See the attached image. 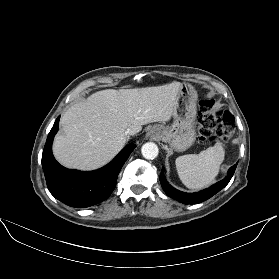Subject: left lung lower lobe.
<instances>
[{"instance_id": "0a47b994", "label": "left lung lower lobe", "mask_w": 279, "mask_h": 279, "mask_svg": "<svg viewBox=\"0 0 279 279\" xmlns=\"http://www.w3.org/2000/svg\"><path fill=\"white\" fill-rule=\"evenodd\" d=\"M235 169H236V165H233L232 167H230L227 176L223 180L217 182L216 184L212 185L211 187L203 191L196 192V193H185L172 187L164 178V168L162 169L160 174V183L162 185L163 190L166 192V194L169 197L183 204H197L211 198L213 195H215L221 189H223L231 180L235 172Z\"/></svg>"}]
</instances>
